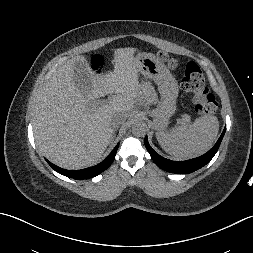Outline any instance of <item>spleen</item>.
I'll use <instances>...</instances> for the list:
<instances>
[{
  "label": "spleen",
  "instance_id": "spleen-1",
  "mask_svg": "<svg viewBox=\"0 0 253 253\" xmlns=\"http://www.w3.org/2000/svg\"><path fill=\"white\" fill-rule=\"evenodd\" d=\"M219 122L216 116L203 115L193 123H183L171 130L157 132L165 152L177 160L195 158L207 152L216 140Z\"/></svg>",
  "mask_w": 253,
  "mask_h": 253
}]
</instances>
